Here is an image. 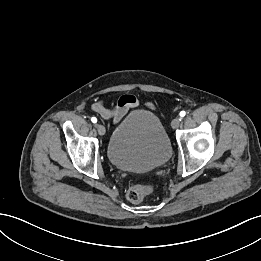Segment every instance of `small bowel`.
Returning <instances> with one entry per match:
<instances>
[{"label": "small bowel", "instance_id": "c3829d8e", "mask_svg": "<svg viewBox=\"0 0 261 261\" xmlns=\"http://www.w3.org/2000/svg\"><path fill=\"white\" fill-rule=\"evenodd\" d=\"M146 105L150 108H154L151 103H146ZM138 106L139 101L134 95L125 94L113 105H107L103 101H99L92 105V109L104 119L118 123L126 116L130 109L137 108Z\"/></svg>", "mask_w": 261, "mask_h": 261}]
</instances>
